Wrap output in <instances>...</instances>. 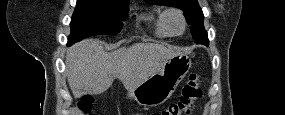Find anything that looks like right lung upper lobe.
Instances as JSON below:
<instances>
[{
	"label": "right lung upper lobe",
	"mask_w": 285,
	"mask_h": 115,
	"mask_svg": "<svg viewBox=\"0 0 285 115\" xmlns=\"http://www.w3.org/2000/svg\"><path fill=\"white\" fill-rule=\"evenodd\" d=\"M113 1H117V2H129V0H113Z\"/></svg>",
	"instance_id": "obj_1"
}]
</instances>
